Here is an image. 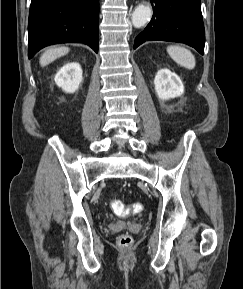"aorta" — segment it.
Masks as SVG:
<instances>
[{
    "mask_svg": "<svg viewBox=\"0 0 243 289\" xmlns=\"http://www.w3.org/2000/svg\"><path fill=\"white\" fill-rule=\"evenodd\" d=\"M152 9L149 4L138 5L132 13V24L135 28L143 27L150 21Z\"/></svg>",
    "mask_w": 243,
    "mask_h": 289,
    "instance_id": "1",
    "label": "aorta"
}]
</instances>
